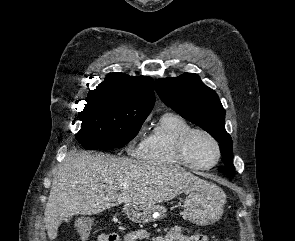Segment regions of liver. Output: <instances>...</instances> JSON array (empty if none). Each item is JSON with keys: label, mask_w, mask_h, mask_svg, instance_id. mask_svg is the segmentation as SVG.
<instances>
[{"label": "liver", "mask_w": 295, "mask_h": 241, "mask_svg": "<svg viewBox=\"0 0 295 241\" xmlns=\"http://www.w3.org/2000/svg\"><path fill=\"white\" fill-rule=\"evenodd\" d=\"M207 183L165 164L70 152L57 168L46 204L48 238L56 239L59 226L70 216L98 214L122 203L153 205Z\"/></svg>", "instance_id": "liver-1"}]
</instances>
